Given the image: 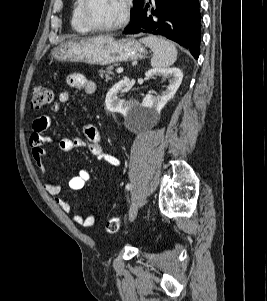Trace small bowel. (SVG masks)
I'll return each instance as SVG.
<instances>
[{
  "label": "small bowel",
  "mask_w": 267,
  "mask_h": 301,
  "mask_svg": "<svg viewBox=\"0 0 267 301\" xmlns=\"http://www.w3.org/2000/svg\"><path fill=\"white\" fill-rule=\"evenodd\" d=\"M67 81L70 87L76 90H81L87 95H92L96 91L95 83L81 74H71L68 76ZM69 98L70 92L68 90L62 91L57 98L54 111H57L61 105L65 104L69 100ZM51 122V114H45L37 117L33 122L32 133L29 139L33 159L38 169L42 173L46 172V167L44 164V157L46 154L45 145L51 144L53 142V137L56 135V133H53L51 136L45 134V132L50 129ZM83 132L85 139L79 137H60L58 139L59 149L64 152H69L74 148L85 147L97 159L103 160L113 166L120 165V161L117 157L107 153L104 150L101 144L100 132L95 126L87 124L83 127ZM89 180L90 173L87 170L81 169L69 180L68 185L71 190H81ZM44 188L47 193L55 197L57 205L65 213L71 212L70 204L66 200L59 197L61 192V186L59 184L45 182ZM73 221L88 228L95 224V217L93 215L83 217L82 215L76 213L73 215Z\"/></svg>",
  "instance_id": "c3829d8e"
}]
</instances>
